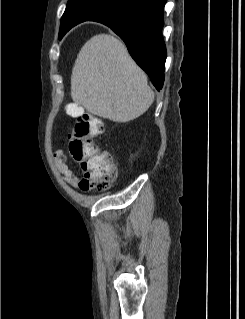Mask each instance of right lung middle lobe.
<instances>
[{
  "label": "right lung middle lobe",
  "instance_id": "dd1d6c3e",
  "mask_svg": "<svg viewBox=\"0 0 245 319\" xmlns=\"http://www.w3.org/2000/svg\"><path fill=\"white\" fill-rule=\"evenodd\" d=\"M126 1L127 0H84L81 2V7H83L95 18L105 12L111 11L119 7ZM66 27H60V34H65L64 30Z\"/></svg>",
  "mask_w": 245,
  "mask_h": 319
}]
</instances>
